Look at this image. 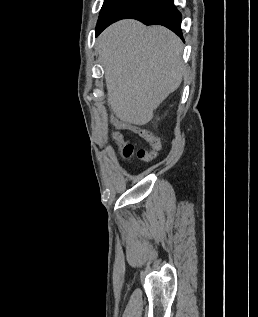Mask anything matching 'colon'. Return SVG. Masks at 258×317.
I'll use <instances>...</instances> for the list:
<instances>
[{
    "mask_svg": "<svg viewBox=\"0 0 258 317\" xmlns=\"http://www.w3.org/2000/svg\"><path fill=\"white\" fill-rule=\"evenodd\" d=\"M114 140L120 145L123 155L127 158L137 156L143 161H149L155 156L153 152L146 150H136L135 146L129 141L125 140L120 133L114 134Z\"/></svg>",
    "mask_w": 258,
    "mask_h": 317,
    "instance_id": "colon-1",
    "label": "colon"
}]
</instances>
